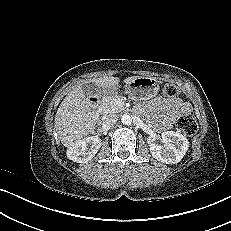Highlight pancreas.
Returning <instances> with one entry per match:
<instances>
[{
    "instance_id": "pancreas-1",
    "label": "pancreas",
    "mask_w": 231,
    "mask_h": 231,
    "mask_svg": "<svg viewBox=\"0 0 231 231\" xmlns=\"http://www.w3.org/2000/svg\"><path fill=\"white\" fill-rule=\"evenodd\" d=\"M122 102V97L118 95L106 97L102 100L99 107L101 114L106 115L109 113L121 112L122 110H124Z\"/></svg>"
}]
</instances>
